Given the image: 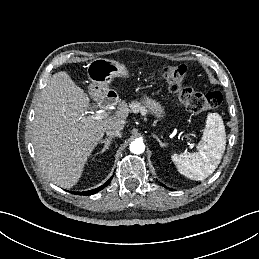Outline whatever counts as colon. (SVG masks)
<instances>
[{"mask_svg":"<svg viewBox=\"0 0 259 259\" xmlns=\"http://www.w3.org/2000/svg\"><path fill=\"white\" fill-rule=\"evenodd\" d=\"M186 71L184 64L167 65L162 69L168 90L192 112L210 111L219 107L223 99L222 94L218 91L204 94L192 86L184 85Z\"/></svg>","mask_w":259,"mask_h":259,"instance_id":"colon-1","label":"colon"}]
</instances>
